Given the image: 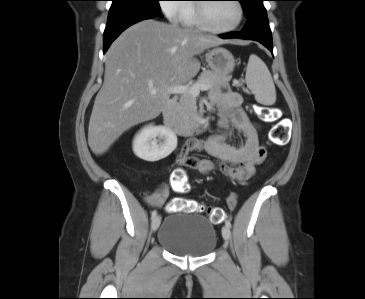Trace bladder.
Masks as SVG:
<instances>
[{"label": "bladder", "instance_id": "31cf9c89", "mask_svg": "<svg viewBox=\"0 0 365 299\" xmlns=\"http://www.w3.org/2000/svg\"><path fill=\"white\" fill-rule=\"evenodd\" d=\"M157 241L178 256L203 257L217 246V230L212 221L200 214L172 213L161 225Z\"/></svg>", "mask_w": 365, "mask_h": 299}]
</instances>
